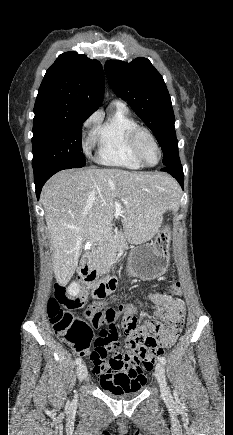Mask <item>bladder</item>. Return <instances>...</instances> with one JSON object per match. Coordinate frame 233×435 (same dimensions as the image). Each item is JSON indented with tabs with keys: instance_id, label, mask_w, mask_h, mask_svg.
<instances>
[{
	"instance_id": "1",
	"label": "bladder",
	"mask_w": 233,
	"mask_h": 435,
	"mask_svg": "<svg viewBox=\"0 0 233 435\" xmlns=\"http://www.w3.org/2000/svg\"><path fill=\"white\" fill-rule=\"evenodd\" d=\"M144 385V382L137 384L132 391L126 393H118L110 388H102V392L115 399H129L138 396L143 391Z\"/></svg>"
}]
</instances>
